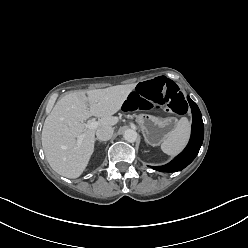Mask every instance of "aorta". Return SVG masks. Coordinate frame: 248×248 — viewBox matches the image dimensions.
Returning <instances> with one entry per match:
<instances>
[{
    "label": "aorta",
    "mask_w": 248,
    "mask_h": 248,
    "mask_svg": "<svg viewBox=\"0 0 248 248\" xmlns=\"http://www.w3.org/2000/svg\"><path fill=\"white\" fill-rule=\"evenodd\" d=\"M124 139L127 141V142H130V143H133L137 140V137H138V134L135 130L133 129H127L125 132H124V135H123Z\"/></svg>",
    "instance_id": "762f6f07"
}]
</instances>
